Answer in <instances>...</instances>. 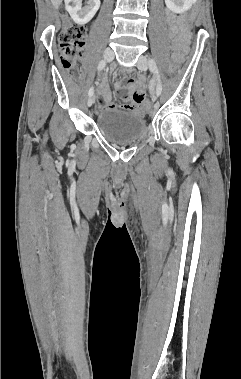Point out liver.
Masks as SVG:
<instances>
[{
	"label": "liver",
	"instance_id": "liver-1",
	"mask_svg": "<svg viewBox=\"0 0 241 379\" xmlns=\"http://www.w3.org/2000/svg\"><path fill=\"white\" fill-rule=\"evenodd\" d=\"M51 2L53 3L55 7H58L60 3L62 2V0H51Z\"/></svg>",
	"mask_w": 241,
	"mask_h": 379
}]
</instances>
